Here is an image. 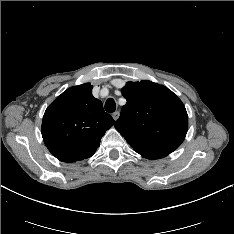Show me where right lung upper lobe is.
Listing matches in <instances>:
<instances>
[{
  "mask_svg": "<svg viewBox=\"0 0 234 234\" xmlns=\"http://www.w3.org/2000/svg\"><path fill=\"white\" fill-rule=\"evenodd\" d=\"M113 124L102 102L92 95L90 83H85L67 89L49 105L42 137L57 159L70 163L91 157Z\"/></svg>",
  "mask_w": 234,
  "mask_h": 234,
  "instance_id": "cb5924a9",
  "label": "right lung upper lobe"
}]
</instances>
